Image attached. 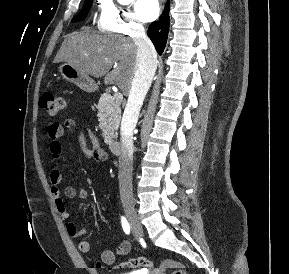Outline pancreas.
I'll use <instances>...</instances> for the list:
<instances>
[{
  "instance_id": "pancreas-1",
  "label": "pancreas",
  "mask_w": 289,
  "mask_h": 274,
  "mask_svg": "<svg viewBox=\"0 0 289 274\" xmlns=\"http://www.w3.org/2000/svg\"><path fill=\"white\" fill-rule=\"evenodd\" d=\"M121 101L109 93L101 95L98 102L99 128L106 143H111L117 137V130L121 119Z\"/></svg>"
}]
</instances>
